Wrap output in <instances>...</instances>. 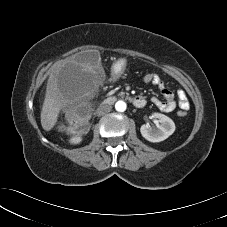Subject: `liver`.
I'll return each instance as SVG.
<instances>
[{
	"instance_id": "obj_1",
	"label": "liver",
	"mask_w": 227,
	"mask_h": 227,
	"mask_svg": "<svg viewBox=\"0 0 227 227\" xmlns=\"http://www.w3.org/2000/svg\"><path fill=\"white\" fill-rule=\"evenodd\" d=\"M90 66H81L74 59L56 64L47 81L40 120L42 128L50 131L56 124L60 110L80 95L83 81L93 74Z\"/></svg>"
}]
</instances>
